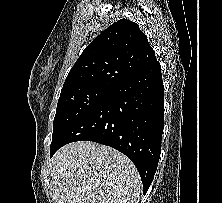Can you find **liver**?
Returning <instances> with one entry per match:
<instances>
[{
  "instance_id": "1",
  "label": "liver",
  "mask_w": 222,
  "mask_h": 203,
  "mask_svg": "<svg viewBox=\"0 0 222 203\" xmlns=\"http://www.w3.org/2000/svg\"><path fill=\"white\" fill-rule=\"evenodd\" d=\"M55 203H139L142 182L135 165L121 152L79 141L51 159Z\"/></svg>"
}]
</instances>
